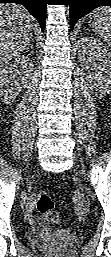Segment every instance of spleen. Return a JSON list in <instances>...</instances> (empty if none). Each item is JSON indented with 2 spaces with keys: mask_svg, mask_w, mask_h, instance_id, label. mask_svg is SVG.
Listing matches in <instances>:
<instances>
[{
  "mask_svg": "<svg viewBox=\"0 0 111 257\" xmlns=\"http://www.w3.org/2000/svg\"><path fill=\"white\" fill-rule=\"evenodd\" d=\"M89 24L98 37L111 47V7H100L89 15Z\"/></svg>",
  "mask_w": 111,
  "mask_h": 257,
  "instance_id": "3e777b00",
  "label": "spleen"
}]
</instances>
